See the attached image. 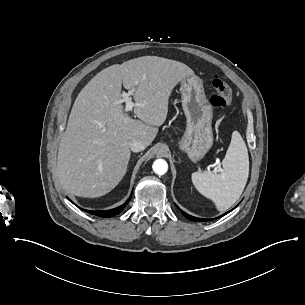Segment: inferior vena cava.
<instances>
[{"instance_id": "obj_1", "label": "inferior vena cava", "mask_w": 305, "mask_h": 305, "mask_svg": "<svg viewBox=\"0 0 305 305\" xmlns=\"http://www.w3.org/2000/svg\"><path fill=\"white\" fill-rule=\"evenodd\" d=\"M128 145L133 152H140L146 148V143L137 139L130 140Z\"/></svg>"}]
</instances>
